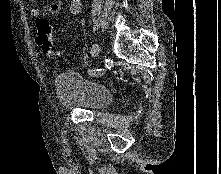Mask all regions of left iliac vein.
<instances>
[{
	"label": "left iliac vein",
	"mask_w": 221,
	"mask_h": 174,
	"mask_svg": "<svg viewBox=\"0 0 221 174\" xmlns=\"http://www.w3.org/2000/svg\"><path fill=\"white\" fill-rule=\"evenodd\" d=\"M100 53V47L97 43H94L91 48V55L93 58H96Z\"/></svg>",
	"instance_id": "4c4485c4"
}]
</instances>
